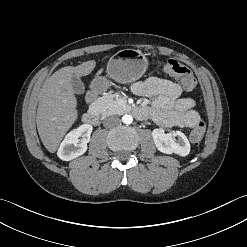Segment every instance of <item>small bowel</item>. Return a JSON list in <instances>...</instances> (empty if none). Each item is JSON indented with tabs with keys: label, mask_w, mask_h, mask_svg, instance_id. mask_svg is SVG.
Here are the masks:
<instances>
[{
	"label": "small bowel",
	"mask_w": 247,
	"mask_h": 247,
	"mask_svg": "<svg viewBox=\"0 0 247 247\" xmlns=\"http://www.w3.org/2000/svg\"><path fill=\"white\" fill-rule=\"evenodd\" d=\"M131 91L138 96L151 98L150 107H142V118L149 116L159 125L193 128L201 122L194 110L195 102L182 97L180 85L170 80L150 77L131 85Z\"/></svg>",
	"instance_id": "small-bowel-1"
}]
</instances>
